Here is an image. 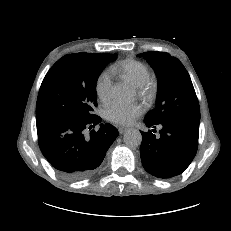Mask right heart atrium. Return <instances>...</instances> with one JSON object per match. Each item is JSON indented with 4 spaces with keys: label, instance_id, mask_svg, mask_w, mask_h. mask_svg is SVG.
<instances>
[{
    "label": "right heart atrium",
    "instance_id": "right-heart-atrium-1",
    "mask_svg": "<svg viewBox=\"0 0 231 231\" xmlns=\"http://www.w3.org/2000/svg\"><path fill=\"white\" fill-rule=\"evenodd\" d=\"M112 78L108 71L102 72L95 83V92L98 99L104 103L111 99Z\"/></svg>",
    "mask_w": 231,
    "mask_h": 231
}]
</instances>
